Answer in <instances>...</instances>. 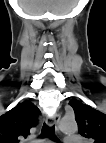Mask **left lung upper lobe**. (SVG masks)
<instances>
[{
	"mask_svg": "<svg viewBox=\"0 0 106 143\" xmlns=\"http://www.w3.org/2000/svg\"><path fill=\"white\" fill-rule=\"evenodd\" d=\"M69 105L75 112L78 132L93 139L94 143H106V114L76 99L71 100Z\"/></svg>",
	"mask_w": 106,
	"mask_h": 143,
	"instance_id": "obj_1",
	"label": "left lung upper lobe"
}]
</instances>
